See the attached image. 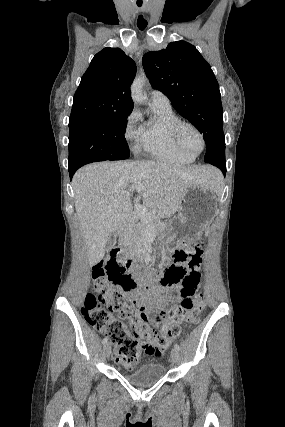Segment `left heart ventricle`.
<instances>
[{
  "label": "left heart ventricle",
  "mask_w": 285,
  "mask_h": 427,
  "mask_svg": "<svg viewBox=\"0 0 285 427\" xmlns=\"http://www.w3.org/2000/svg\"><path fill=\"white\" fill-rule=\"evenodd\" d=\"M180 140L190 153H197L201 149L200 139L191 128L185 127L181 130Z\"/></svg>",
  "instance_id": "obj_1"
}]
</instances>
